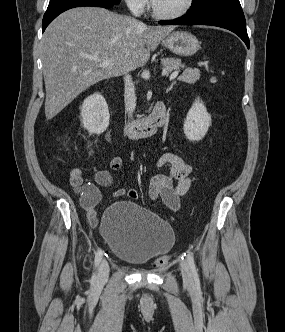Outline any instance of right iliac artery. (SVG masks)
<instances>
[{"label": "right iliac artery", "mask_w": 285, "mask_h": 332, "mask_svg": "<svg viewBox=\"0 0 285 332\" xmlns=\"http://www.w3.org/2000/svg\"><path fill=\"white\" fill-rule=\"evenodd\" d=\"M102 256H103V251L101 249H99L97 251V253L95 254V259H94L95 269L98 268V266L101 262ZM94 277H95V274H94Z\"/></svg>", "instance_id": "right-iliac-artery-1"}]
</instances>
